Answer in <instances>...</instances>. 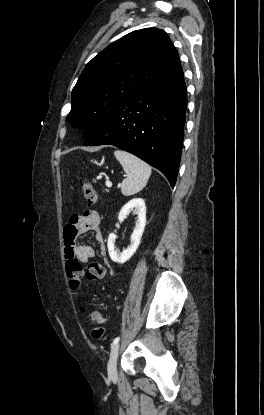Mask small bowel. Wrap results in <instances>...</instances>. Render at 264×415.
I'll return each mask as SVG.
<instances>
[{
    "instance_id": "c3829d8e",
    "label": "small bowel",
    "mask_w": 264,
    "mask_h": 415,
    "mask_svg": "<svg viewBox=\"0 0 264 415\" xmlns=\"http://www.w3.org/2000/svg\"><path fill=\"white\" fill-rule=\"evenodd\" d=\"M99 220L100 217L96 211H89L84 216L72 215L70 217L69 224L64 232V257L67 262L77 261L85 264L95 257V249L91 245L77 242L78 236L90 230L94 231L95 240L99 245L100 255L103 257L106 256L107 250L103 234L99 228Z\"/></svg>"
}]
</instances>
